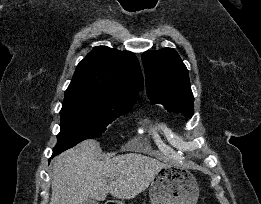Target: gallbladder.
<instances>
[{
	"label": "gallbladder",
	"instance_id": "bac80fb5",
	"mask_svg": "<svg viewBox=\"0 0 261 204\" xmlns=\"http://www.w3.org/2000/svg\"><path fill=\"white\" fill-rule=\"evenodd\" d=\"M85 204H99L96 200L94 199H88Z\"/></svg>",
	"mask_w": 261,
	"mask_h": 204
}]
</instances>
